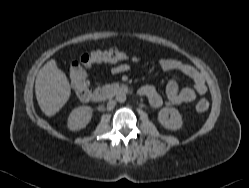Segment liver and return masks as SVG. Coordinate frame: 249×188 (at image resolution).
<instances>
[{
	"label": "liver",
	"instance_id": "obj_1",
	"mask_svg": "<svg viewBox=\"0 0 249 188\" xmlns=\"http://www.w3.org/2000/svg\"><path fill=\"white\" fill-rule=\"evenodd\" d=\"M36 99L47 116L56 114L69 100L71 88L65 73L49 60L38 72L35 81Z\"/></svg>",
	"mask_w": 249,
	"mask_h": 188
}]
</instances>
